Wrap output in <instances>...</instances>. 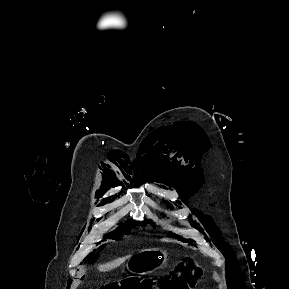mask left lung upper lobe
I'll return each mask as SVG.
<instances>
[{"label":"left lung upper lobe","mask_w":289,"mask_h":289,"mask_svg":"<svg viewBox=\"0 0 289 289\" xmlns=\"http://www.w3.org/2000/svg\"><path fill=\"white\" fill-rule=\"evenodd\" d=\"M147 222L150 223L152 226L155 227V224L152 223L150 220H147ZM167 236H168V237H172V238H176V239H178V240H180V241H183V242L187 241V240L181 238L179 235L174 234V233H172V232H170Z\"/></svg>","instance_id":"left-lung-upper-lobe-1"}]
</instances>
